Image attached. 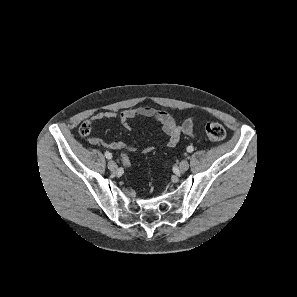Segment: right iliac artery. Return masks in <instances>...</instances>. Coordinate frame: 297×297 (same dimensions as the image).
Segmentation results:
<instances>
[{"instance_id": "82829eb1", "label": "right iliac artery", "mask_w": 297, "mask_h": 297, "mask_svg": "<svg viewBox=\"0 0 297 297\" xmlns=\"http://www.w3.org/2000/svg\"><path fill=\"white\" fill-rule=\"evenodd\" d=\"M105 157H106L107 159H111V158H112V154H111L110 152L106 151V152H105Z\"/></svg>"}]
</instances>
